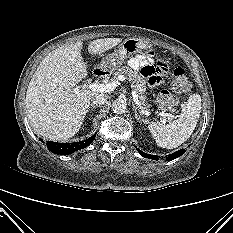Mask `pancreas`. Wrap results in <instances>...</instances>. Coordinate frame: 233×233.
<instances>
[{"instance_id": "pancreas-1", "label": "pancreas", "mask_w": 233, "mask_h": 233, "mask_svg": "<svg viewBox=\"0 0 233 233\" xmlns=\"http://www.w3.org/2000/svg\"><path fill=\"white\" fill-rule=\"evenodd\" d=\"M122 74L128 76V80L131 82L132 88H134L138 94L141 105L144 106L145 109H148L150 105L147 104L146 97L142 95L146 91L144 78L136 71H133L128 67H122L117 69V71L114 73V80H116Z\"/></svg>"}]
</instances>
